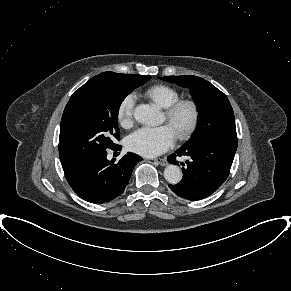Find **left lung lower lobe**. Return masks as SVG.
<instances>
[{
    "label": "left lung lower lobe",
    "instance_id": "obj_1",
    "mask_svg": "<svg viewBox=\"0 0 291 291\" xmlns=\"http://www.w3.org/2000/svg\"><path fill=\"white\" fill-rule=\"evenodd\" d=\"M237 136L221 135L206 139L196 145H184L168 156L172 164H179L177 156L189 160L183 168V178L169 188L188 200H200L215 192L227 179L237 149Z\"/></svg>",
    "mask_w": 291,
    "mask_h": 291
}]
</instances>
